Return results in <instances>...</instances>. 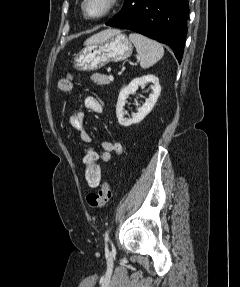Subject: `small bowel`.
Here are the masks:
<instances>
[{
    "label": "small bowel",
    "instance_id": "small-bowel-1",
    "mask_svg": "<svg viewBox=\"0 0 240 287\" xmlns=\"http://www.w3.org/2000/svg\"><path fill=\"white\" fill-rule=\"evenodd\" d=\"M84 106L87 110L94 113H101L103 105L99 98L95 96H87L84 99ZM70 126L79 132L82 142L91 143V136L85 129V116L82 111H77L69 116ZM102 151L98 154L99 160L103 162H110L113 155H121L123 153V146L118 141H104L102 142Z\"/></svg>",
    "mask_w": 240,
    "mask_h": 287
}]
</instances>
